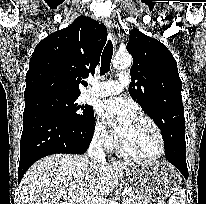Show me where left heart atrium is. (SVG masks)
Returning a JSON list of instances; mask_svg holds the SVG:
<instances>
[{
  "label": "left heart atrium",
  "mask_w": 206,
  "mask_h": 204,
  "mask_svg": "<svg viewBox=\"0 0 206 204\" xmlns=\"http://www.w3.org/2000/svg\"><path fill=\"white\" fill-rule=\"evenodd\" d=\"M98 113L115 128L120 136L125 133L134 117L131 106L120 98L108 99L100 103Z\"/></svg>",
  "instance_id": "1"
}]
</instances>
